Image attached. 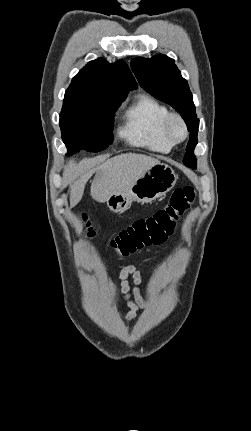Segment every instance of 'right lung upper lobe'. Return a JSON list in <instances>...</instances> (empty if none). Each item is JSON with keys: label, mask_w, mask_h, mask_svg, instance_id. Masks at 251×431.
Returning a JSON list of instances; mask_svg holds the SVG:
<instances>
[{"label": "right lung upper lobe", "mask_w": 251, "mask_h": 431, "mask_svg": "<svg viewBox=\"0 0 251 431\" xmlns=\"http://www.w3.org/2000/svg\"><path fill=\"white\" fill-rule=\"evenodd\" d=\"M136 87V81L124 61L110 64L105 59L98 58L80 70L68 89L125 99L129 90Z\"/></svg>", "instance_id": "cb5924a9"}]
</instances>
